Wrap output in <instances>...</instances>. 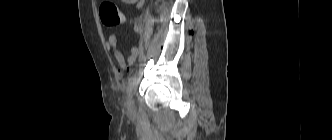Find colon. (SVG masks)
<instances>
[{
	"label": "colon",
	"instance_id": "colon-1",
	"mask_svg": "<svg viewBox=\"0 0 332 140\" xmlns=\"http://www.w3.org/2000/svg\"><path fill=\"white\" fill-rule=\"evenodd\" d=\"M99 13L102 23L108 27L118 26L125 21L119 7L111 1L102 2Z\"/></svg>",
	"mask_w": 332,
	"mask_h": 140
}]
</instances>
